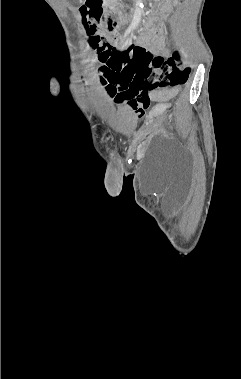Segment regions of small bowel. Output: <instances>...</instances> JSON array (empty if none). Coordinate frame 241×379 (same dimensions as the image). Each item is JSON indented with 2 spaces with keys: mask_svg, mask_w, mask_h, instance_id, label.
<instances>
[{
  "mask_svg": "<svg viewBox=\"0 0 241 379\" xmlns=\"http://www.w3.org/2000/svg\"><path fill=\"white\" fill-rule=\"evenodd\" d=\"M165 9H167L166 6ZM111 32L115 34L116 31L114 28H111ZM143 43L144 45L142 46L144 47L145 45H150L154 54L160 52L163 54L167 53L164 38L159 35L157 29L147 33L143 37ZM103 83L106 85L107 91L115 97L117 102L124 101L126 103L136 118L142 117L146 114V110H150L151 100L165 102L177 94L176 88L158 90L157 86H151L150 83H139L138 89H109V82Z\"/></svg>",
  "mask_w": 241,
  "mask_h": 379,
  "instance_id": "1",
  "label": "small bowel"
}]
</instances>
